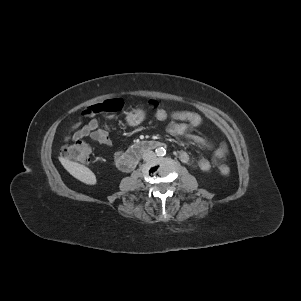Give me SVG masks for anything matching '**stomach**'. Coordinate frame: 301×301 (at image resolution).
Instances as JSON below:
<instances>
[{"label":"stomach","mask_w":301,"mask_h":301,"mask_svg":"<svg viewBox=\"0 0 301 301\" xmlns=\"http://www.w3.org/2000/svg\"><path fill=\"white\" fill-rule=\"evenodd\" d=\"M146 118V113L142 108L133 109L126 114V121L130 126L140 125Z\"/></svg>","instance_id":"stomach-1"}]
</instances>
